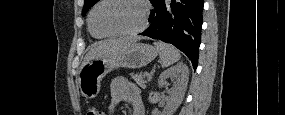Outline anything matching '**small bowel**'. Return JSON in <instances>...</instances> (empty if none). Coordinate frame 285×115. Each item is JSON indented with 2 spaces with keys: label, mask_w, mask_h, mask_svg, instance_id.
<instances>
[{
  "label": "small bowel",
  "mask_w": 285,
  "mask_h": 115,
  "mask_svg": "<svg viewBox=\"0 0 285 115\" xmlns=\"http://www.w3.org/2000/svg\"><path fill=\"white\" fill-rule=\"evenodd\" d=\"M110 113L114 114L115 107L122 101L132 106V115H145L139 88L124 77L115 78L110 85Z\"/></svg>",
  "instance_id": "1"
}]
</instances>
